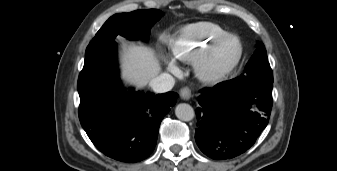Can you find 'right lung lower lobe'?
<instances>
[{
    "label": "right lung lower lobe",
    "mask_w": 337,
    "mask_h": 171,
    "mask_svg": "<svg viewBox=\"0 0 337 171\" xmlns=\"http://www.w3.org/2000/svg\"><path fill=\"white\" fill-rule=\"evenodd\" d=\"M79 119L96 148L122 162L146 159L156 145L163 117L178 94L124 92L120 84L115 42L90 50L78 79Z\"/></svg>",
    "instance_id": "98d812e1"
}]
</instances>
